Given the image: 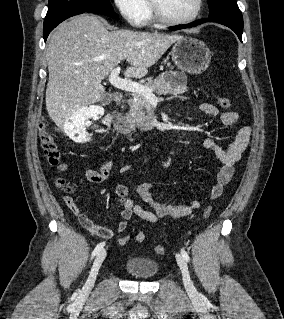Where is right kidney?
<instances>
[{"instance_id": "right-kidney-1", "label": "right kidney", "mask_w": 284, "mask_h": 319, "mask_svg": "<svg viewBox=\"0 0 284 319\" xmlns=\"http://www.w3.org/2000/svg\"><path fill=\"white\" fill-rule=\"evenodd\" d=\"M99 113H101V110L95 106L78 109L64 125L66 135L77 143L88 142L91 135L86 131V125L90 118L97 116Z\"/></svg>"}]
</instances>
